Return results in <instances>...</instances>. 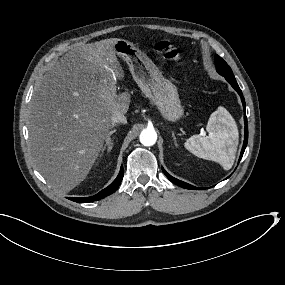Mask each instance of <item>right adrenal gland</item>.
I'll return each instance as SVG.
<instances>
[{
    "instance_id": "2a0ac1e0",
    "label": "right adrenal gland",
    "mask_w": 285,
    "mask_h": 285,
    "mask_svg": "<svg viewBox=\"0 0 285 285\" xmlns=\"http://www.w3.org/2000/svg\"><path fill=\"white\" fill-rule=\"evenodd\" d=\"M116 132V129H113L109 132V136L106 139V143L104 145V147L102 148L101 152L103 153L105 150H107V152H110L113 148V139L110 138V136L112 134H114Z\"/></svg>"
}]
</instances>
